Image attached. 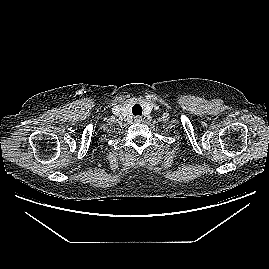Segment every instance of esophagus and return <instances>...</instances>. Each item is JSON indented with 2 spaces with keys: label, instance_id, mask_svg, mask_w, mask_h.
<instances>
[{
  "label": "esophagus",
  "instance_id": "34e87169",
  "mask_svg": "<svg viewBox=\"0 0 269 269\" xmlns=\"http://www.w3.org/2000/svg\"><path fill=\"white\" fill-rule=\"evenodd\" d=\"M134 121L139 123V122L142 121V117H140V116H135V117H134Z\"/></svg>",
  "mask_w": 269,
  "mask_h": 269
}]
</instances>
